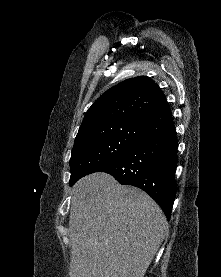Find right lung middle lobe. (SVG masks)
<instances>
[{
  "label": "right lung middle lobe",
  "instance_id": "dd1d6c3e",
  "mask_svg": "<svg viewBox=\"0 0 221 277\" xmlns=\"http://www.w3.org/2000/svg\"><path fill=\"white\" fill-rule=\"evenodd\" d=\"M140 135L139 122L100 125L78 132L70 159V185L122 158Z\"/></svg>",
  "mask_w": 221,
  "mask_h": 277
}]
</instances>
